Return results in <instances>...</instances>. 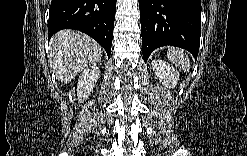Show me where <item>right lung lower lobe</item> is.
Masks as SVG:
<instances>
[{"label":"right lung lower lobe","mask_w":247,"mask_h":156,"mask_svg":"<svg viewBox=\"0 0 247 156\" xmlns=\"http://www.w3.org/2000/svg\"><path fill=\"white\" fill-rule=\"evenodd\" d=\"M116 0H52L48 39L62 29L88 34L111 54Z\"/></svg>","instance_id":"98d812e1"}]
</instances>
